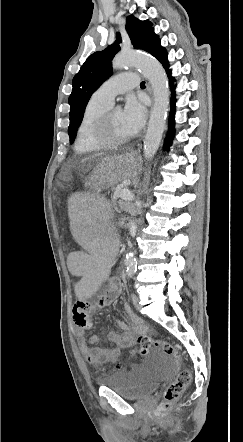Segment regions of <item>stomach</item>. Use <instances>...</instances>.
I'll return each instance as SVG.
<instances>
[{"instance_id":"obj_1","label":"stomach","mask_w":243,"mask_h":442,"mask_svg":"<svg viewBox=\"0 0 243 442\" xmlns=\"http://www.w3.org/2000/svg\"><path fill=\"white\" fill-rule=\"evenodd\" d=\"M139 166V159L134 154L105 158L94 168L86 185H105L106 189L110 188L123 179L134 177Z\"/></svg>"}]
</instances>
